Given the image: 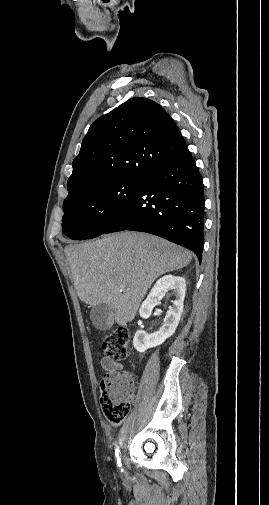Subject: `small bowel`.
I'll return each mask as SVG.
<instances>
[{
	"mask_svg": "<svg viewBox=\"0 0 269 505\" xmlns=\"http://www.w3.org/2000/svg\"><path fill=\"white\" fill-rule=\"evenodd\" d=\"M102 366L109 374H115L121 369V365L110 358L102 359Z\"/></svg>",
	"mask_w": 269,
	"mask_h": 505,
	"instance_id": "1",
	"label": "small bowel"
}]
</instances>
